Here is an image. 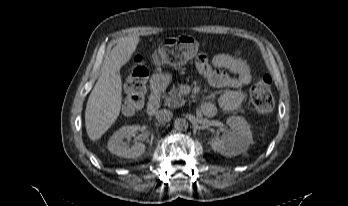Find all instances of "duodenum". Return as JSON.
<instances>
[{
    "label": "duodenum",
    "instance_id": "obj_1",
    "mask_svg": "<svg viewBox=\"0 0 348 206\" xmlns=\"http://www.w3.org/2000/svg\"><path fill=\"white\" fill-rule=\"evenodd\" d=\"M151 91L152 93L147 105V112L150 115H154L160 108L162 86L157 81H153ZM201 111L206 116H212L215 113V107L211 103H204L201 106Z\"/></svg>",
    "mask_w": 348,
    "mask_h": 206
}]
</instances>
